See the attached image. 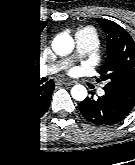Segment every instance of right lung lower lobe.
Instances as JSON below:
<instances>
[{"label": "right lung lower lobe", "instance_id": "obj_1", "mask_svg": "<svg viewBox=\"0 0 135 165\" xmlns=\"http://www.w3.org/2000/svg\"><path fill=\"white\" fill-rule=\"evenodd\" d=\"M53 81L30 85L28 81H0V122L18 126L35 125L48 110Z\"/></svg>", "mask_w": 135, "mask_h": 165}]
</instances>
